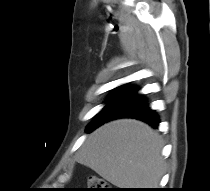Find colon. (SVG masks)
<instances>
[{
  "label": "colon",
  "instance_id": "colon-1",
  "mask_svg": "<svg viewBox=\"0 0 210 191\" xmlns=\"http://www.w3.org/2000/svg\"><path fill=\"white\" fill-rule=\"evenodd\" d=\"M85 191H113L107 183L97 177V176H90L88 178V188Z\"/></svg>",
  "mask_w": 210,
  "mask_h": 191
}]
</instances>
